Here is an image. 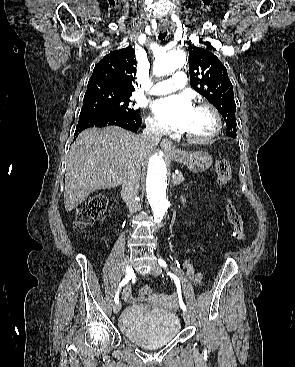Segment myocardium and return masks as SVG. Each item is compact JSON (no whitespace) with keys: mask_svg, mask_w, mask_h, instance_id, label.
<instances>
[{"mask_svg":"<svg viewBox=\"0 0 295 367\" xmlns=\"http://www.w3.org/2000/svg\"><path fill=\"white\" fill-rule=\"evenodd\" d=\"M197 109H205L207 110L213 117L214 120V128L210 134L204 137H195L189 134L184 133V137L191 143L194 144H207L212 142L214 139L218 137L222 130V119L220 116L219 111L210 103L208 102H200L196 105Z\"/></svg>","mask_w":295,"mask_h":367,"instance_id":"obj_1","label":"myocardium"}]
</instances>
